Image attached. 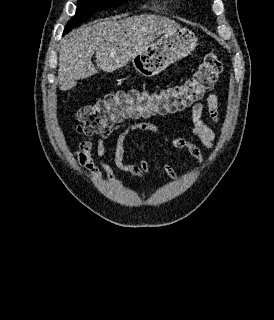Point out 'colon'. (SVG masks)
I'll return each instance as SVG.
<instances>
[{
	"label": "colon",
	"mask_w": 274,
	"mask_h": 320,
	"mask_svg": "<svg viewBox=\"0 0 274 320\" xmlns=\"http://www.w3.org/2000/svg\"><path fill=\"white\" fill-rule=\"evenodd\" d=\"M218 53L209 52L193 75L183 83L162 89H120L84 106L76 115L78 132L97 135L126 119L165 115L183 110L202 100L222 71Z\"/></svg>",
	"instance_id": "obj_1"
}]
</instances>
